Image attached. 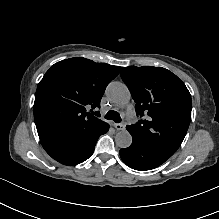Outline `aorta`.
Returning a JSON list of instances; mask_svg holds the SVG:
<instances>
[{
  "mask_svg": "<svg viewBox=\"0 0 219 219\" xmlns=\"http://www.w3.org/2000/svg\"><path fill=\"white\" fill-rule=\"evenodd\" d=\"M106 95L118 105H126L131 98L127 86L122 82H111L106 89ZM115 143L120 148H127L132 144V136L127 130L120 131L115 136Z\"/></svg>",
  "mask_w": 219,
  "mask_h": 219,
  "instance_id": "762f6f07",
  "label": "aorta"
}]
</instances>
